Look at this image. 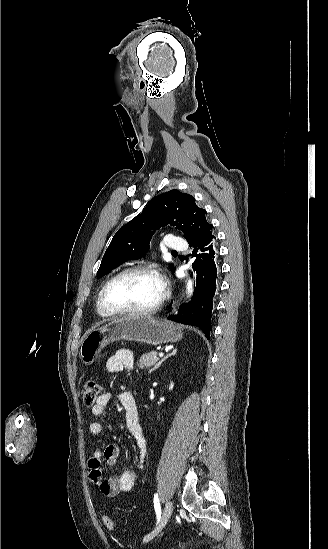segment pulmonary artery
<instances>
[{
  "label": "pulmonary artery",
  "mask_w": 328,
  "mask_h": 549,
  "mask_svg": "<svg viewBox=\"0 0 328 549\" xmlns=\"http://www.w3.org/2000/svg\"><path fill=\"white\" fill-rule=\"evenodd\" d=\"M164 248L167 252H183L185 245L183 241H175L174 238L169 237L165 241Z\"/></svg>",
  "instance_id": "pulmonary-artery-1"
}]
</instances>
